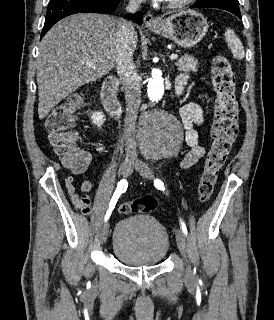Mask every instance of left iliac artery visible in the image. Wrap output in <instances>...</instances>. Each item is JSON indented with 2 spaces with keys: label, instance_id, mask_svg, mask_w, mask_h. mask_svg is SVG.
<instances>
[{
  "label": "left iliac artery",
  "instance_id": "1",
  "mask_svg": "<svg viewBox=\"0 0 274 320\" xmlns=\"http://www.w3.org/2000/svg\"><path fill=\"white\" fill-rule=\"evenodd\" d=\"M154 185L156 188H158L159 190H165L164 188V183L159 180V179H156L154 180ZM180 224H181V228H182V231L183 233L187 236V228H186V225L185 223L180 219Z\"/></svg>",
  "mask_w": 274,
  "mask_h": 320
}]
</instances>
